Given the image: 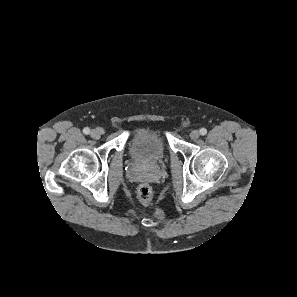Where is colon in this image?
I'll use <instances>...</instances> for the list:
<instances>
[{
  "label": "colon",
  "mask_w": 297,
  "mask_h": 297,
  "mask_svg": "<svg viewBox=\"0 0 297 297\" xmlns=\"http://www.w3.org/2000/svg\"><path fill=\"white\" fill-rule=\"evenodd\" d=\"M152 197H153V192L149 185L143 184L139 187L138 199L142 204L144 205L149 204L152 200Z\"/></svg>",
  "instance_id": "colon-1"
}]
</instances>
